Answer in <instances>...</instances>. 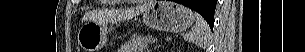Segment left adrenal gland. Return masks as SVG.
<instances>
[{"instance_id":"obj_1","label":"left adrenal gland","mask_w":305,"mask_h":52,"mask_svg":"<svg viewBox=\"0 0 305 52\" xmlns=\"http://www.w3.org/2000/svg\"><path fill=\"white\" fill-rule=\"evenodd\" d=\"M157 48H158V46H155V47H154V49H157Z\"/></svg>"}]
</instances>
